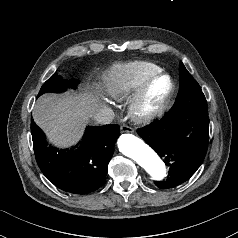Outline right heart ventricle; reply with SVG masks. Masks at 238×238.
I'll return each instance as SVG.
<instances>
[{
    "mask_svg": "<svg viewBox=\"0 0 238 238\" xmlns=\"http://www.w3.org/2000/svg\"><path fill=\"white\" fill-rule=\"evenodd\" d=\"M159 70L155 64L145 61L115 65L106 75L107 92L118 102L128 101L142 84Z\"/></svg>",
    "mask_w": 238,
    "mask_h": 238,
    "instance_id": "e07e8e85",
    "label": "right heart ventricle"
}]
</instances>
